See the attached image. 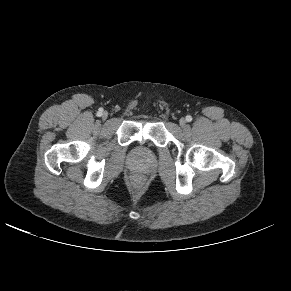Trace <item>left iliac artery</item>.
Returning <instances> with one entry per match:
<instances>
[{"label": "left iliac artery", "mask_w": 291, "mask_h": 291, "mask_svg": "<svg viewBox=\"0 0 291 291\" xmlns=\"http://www.w3.org/2000/svg\"><path fill=\"white\" fill-rule=\"evenodd\" d=\"M186 120L187 122H191L192 121V117L190 115L186 116Z\"/></svg>", "instance_id": "left-iliac-artery-1"}]
</instances>
